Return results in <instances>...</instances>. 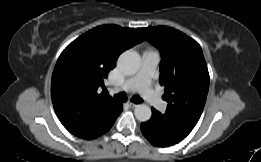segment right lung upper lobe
I'll list each match as a JSON object with an SVG mask.
<instances>
[{"mask_svg":"<svg viewBox=\"0 0 261 162\" xmlns=\"http://www.w3.org/2000/svg\"><path fill=\"white\" fill-rule=\"evenodd\" d=\"M144 40L139 29L102 25L73 41L59 56L52 74L51 97L63 126L73 135L94 139L122 111V104L98 93L118 56Z\"/></svg>","mask_w":261,"mask_h":162,"instance_id":"1","label":"right lung upper lobe"}]
</instances>
